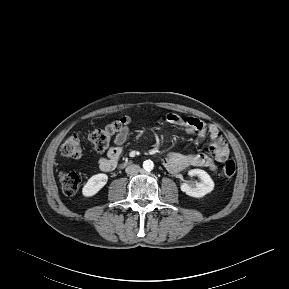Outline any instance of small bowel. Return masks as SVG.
<instances>
[{
  "label": "small bowel",
  "mask_w": 289,
  "mask_h": 289,
  "mask_svg": "<svg viewBox=\"0 0 289 289\" xmlns=\"http://www.w3.org/2000/svg\"><path fill=\"white\" fill-rule=\"evenodd\" d=\"M165 120L172 126L195 136L199 141L204 140L207 136L210 139L209 152L185 155L176 151H169L163 160V165L170 173L176 174L190 168H208L215 171V160L223 162L228 158V145L215 125L205 123L195 117L182 118L175 113H167ZM128 135V127L116 134L113 145L108 149L106 156L99 159V166L103 171L115 169Z\"/></svg>",
  "instance_id": "small-bowel-1"
}]
</instances>
